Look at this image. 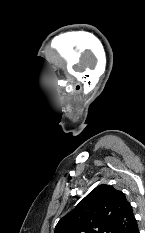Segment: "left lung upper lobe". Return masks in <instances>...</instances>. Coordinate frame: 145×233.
<instances>
[{"instance_id": "left-lung-upper-lobe-1", "label": "left lung upper lobe", "mask_w": 145, "mask_h": 233, "mask_svg": "<svg viewBox=\"0 0 145 233\" xmlns=\"http://www.w3.org/2000/svg\"><path fill=\"white\" fill-rule=\"evenodd\" d=\"M136 219L124 193L99 185L65 215L55 233H130Z\"/></svg>"}]
</instances>
